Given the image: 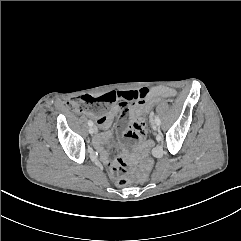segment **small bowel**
<instances>
[{
    "label": "small bowel",
    "mask_w": 241,
    "mask_h": 241,
    "mask_svg": "<svg viewBox=\"0 0 241 241\" xmlns=\"http://www.w3.org/2000/svg\"><path fill=\"white\" fill-rule=\"evenodd\" d=\"M121 101L127 100V107L124 110L122 105L117 102L118 106L122 108L121 116H125V123L120 124V130L124 139L133 141L144 137L145 126L144 122L139 118V108L141 104L146 101H151L156 98L171 97L176 94V91L169 87L159 86L153 89L139 87L134 91L111 92ZM118 106L112 107L108 114L97 118L99 126L106 130L110 127L114 114ZM110 137L109 132H102L94 138V146L100 155L102 163L108 168L111 175L117 173L116 165L112 164L110 156L105 149V142ZM125 154H132L128 148L124 149Z\"/></svg>",
    "instance_id": "small-bowel-1"
}]
</instances>
